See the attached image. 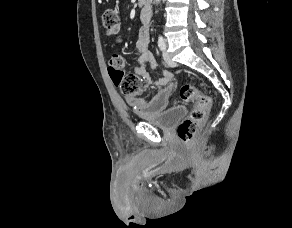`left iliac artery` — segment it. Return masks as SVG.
Here are the masks:
<instances>
[{
	"mask_svg": "<svg viewBox=\"0 0 292 228\" xmlns=\"http://www.w3.org/2000/svg\"><path fill=\"white\" fill-rule=\"evenodd\" d=\"M158 46L160 48V50L164 51L166 49V43L165 40L162 36L158 37Z\"/></svg>",
	"mask_w": 292,
	"mask_h": 228,
	"instance_id": "left-iliac-artery-1",
	"label": "left iliac artery"
}]
</instances>
